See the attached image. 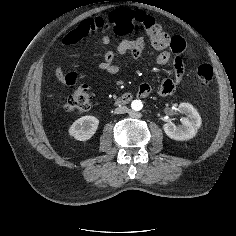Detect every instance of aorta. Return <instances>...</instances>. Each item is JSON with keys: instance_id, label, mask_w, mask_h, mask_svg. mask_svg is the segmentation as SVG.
<instances>
[{"instance_id": "obj_1", "label": "aorta", "mask_w": 236, "mask_h": 236, "mask_svg": "<svg viewBox=\"0 0 236 236\" xmlns=\"http://www.w3.org/2000/svg\"><path fill=\"white\" fill-rule=\"evenodd\" d=\"M131 108L134 111H140L143 108V103L141 100H133L131 103Z\"/></svg>"}]
</instances>
